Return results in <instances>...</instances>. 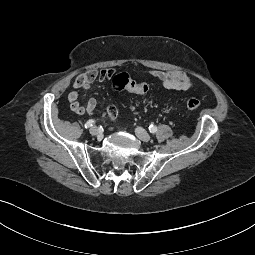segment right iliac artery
<instances>
[{
	"label": "right iliac artery",
	"mask_w": 255,
	"mask_h": 255,
	"mask_svg": "<svg viewBox=\"0 0 255 255\" xmlns=\"http://www.w3.org/2000/svg\"><path fill=\"white\" fill-rule=\"evenodd\" d=\"M95 121L94 120H88L85 124V128H90L94 125Z\"/></svg>",
	"instance_id": "82829eb1"
}]
</instances>
